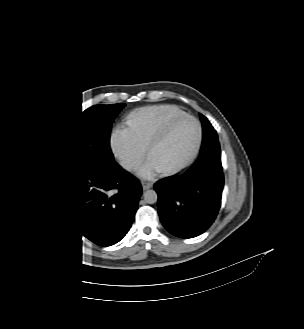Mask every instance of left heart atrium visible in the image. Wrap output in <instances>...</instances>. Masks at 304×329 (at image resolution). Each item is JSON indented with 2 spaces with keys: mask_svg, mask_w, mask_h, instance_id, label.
Here are the masks:
<instances>
[{
  "mask_svg": "<svg viewBox=\"0 0 304 329\" xmlns=\"http://www.w3.org/2000/svg\"><path fill=\"white\" fill-rule=\"evenodd\" d=\"M157 172L158 170L150 162H148L143 168L142 175L145 178L151 179Z\"/></svg>",
  "mask_w": 304,
  "mask_h": 329,
  "instance_id": "1",
  "label": "left heart atrium"
}]
</instances>
